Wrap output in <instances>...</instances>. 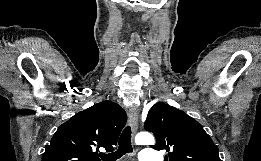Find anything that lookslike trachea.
<instances>
[{
  "label": "trachea",
  "mask_w": 261,
  "mask_h": 161,
  "mask_svg": "<svg viewBox=\"0 0 261 161\" xmlns=\"http://www.w3.org/2000/svg\"><path fill=\"white\" fill-rule=\"evenodd\" d=\"M133 148L131 144V129L127 126L120 138H119V148L117 151L109 153L107 155H102L101 158L104 161H116L117 159L121 158L126 153H132Z\"/></svg>",
  "instance_id": "3493384b"
}]
</instances>
